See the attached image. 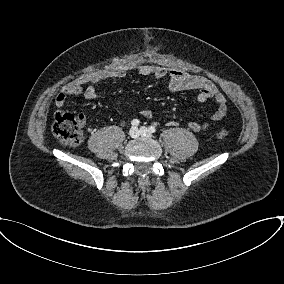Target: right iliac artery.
I'll list each match as a JSON object with an SVG mask.
<instances>
[{"mask_svg":"<svg viewBox=\"0 0 284 284\" xmlns=\"http://www.w3.org/2000/svg\"><path fill=\"white\" fill-rule=\"evenodd\" d=\"M139 124H140V121H139L138 119H134V120H132V122H131V125H132L133 127H137Z\"/></svg>","mask_w":284,"mask_h":284,"instance_id":"right-iliac-artery-1","label":"right iliac artery"}]
</instances>
